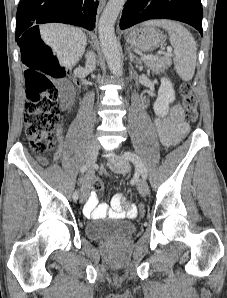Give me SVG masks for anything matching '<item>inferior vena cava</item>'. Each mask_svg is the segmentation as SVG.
Returning <instances> with one entry per match:
<instances>
[{
	"label": "inferior vena cava",
	"instance_id": "obj_1",
	"mask_svg": "<svg viewBox=\"0 0 227 298\" xmlns=\"http://www.w3.org/2000/svg\"><path fill=\"white\" fill-rule=\"evenodd\" d=\"M95 66H96V58L94 53L92 52L87 53L85 70L88 72L93 71L95 69Z\"/></svg>",
	"mask_w": 227,
	"mask_h": 298
}]
</instances>
